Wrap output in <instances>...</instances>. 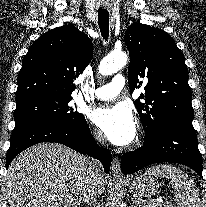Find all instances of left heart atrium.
<instances>
[{
    "label": "left heart atrium",
    "instance_id": "left-heart-atrium-1",
    "mask_svg": "<svg viewBox=\"0 0 206 207\" xmlns=\"http://www.w3.org/2000/svg\"><path fill=\"white\" fill-rule=\"evenodd\" d=\"M92 119L115 145H127L136 135V122L130 107L124 103L98 108Z\"/></svg>",
    "mask_w": 206,
    "mask_h": 207
}]
</instances>
